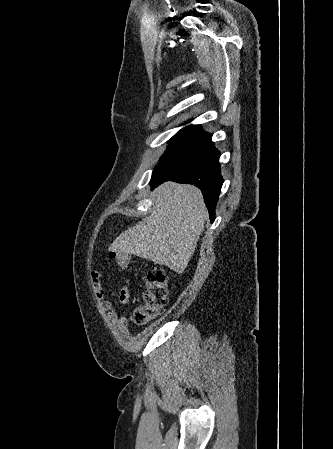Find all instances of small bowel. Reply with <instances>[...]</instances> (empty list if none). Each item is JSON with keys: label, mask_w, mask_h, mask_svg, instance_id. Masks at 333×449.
<instances>
[{"label": "small bowel", "mask_w": 333, "mask_h": 449, "mask_svg": "<svg viewBox=\"0 0 333 449\" xmlns=\"http://www.w3.org/2000/svg\"><path fill=\"white\" fill-rule=\"evenodd\" d=\"M92 285L94 289L95 296L98 300L99 307L109 314L112 322L117 326V328L123 333L128 334L127 323L128 320L124 316H119L115 311L112 302L106 298L105 289L103 287V277L99 270L92 272ZM129 280L126 279L123 287L119 291L118 300L120 304H127L130 299V287Z\"/></svg>", "instance_id": "c3829d8e"}]
</instances>
